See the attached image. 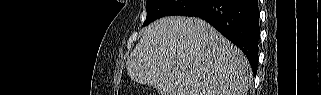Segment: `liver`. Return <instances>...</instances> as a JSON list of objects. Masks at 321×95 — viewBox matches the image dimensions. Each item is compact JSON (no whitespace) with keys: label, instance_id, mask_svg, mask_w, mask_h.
<instances>
[{"label":"liver","instance_id":"liver-1","mask_svg":"<svg viewBox=\"0 0 321 95\" xmlns=\"http://www.w3.org/2000/svg\"><path fill=\"white\" fill-rule=\"evenodd\" d=\"M126 69L160 95H246L252 81L244 54L192 17H165L146 27Z\"/></svg>","mask_w":321,"mask_h":95}]
</instances>
